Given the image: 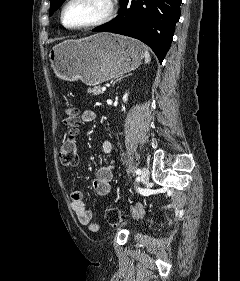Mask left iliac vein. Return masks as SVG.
Listing matches in <instances>:
<instances>
[{
	"mask_svg": "<svg viewBox=\"0 0 240 281\" xmlns=\"http://www.w3.org/2000/svg\"><path fill=\"white\" fill-rule=\"evenodd\" d=\"M141 180L144 182V183H147L148 180H149V170L146 168V167H143L141 169Z\"/></svg>",
	"mask_w": 240,
	"mask_h": 281,
	"instance_id": "4c4485c4",
	"label": "left iliac vein"
}]
</instances>
